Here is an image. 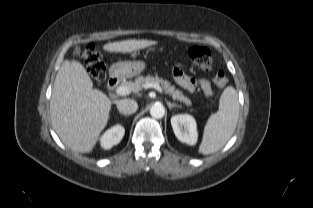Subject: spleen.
I'll return each instance as SVG.
<instances>
[{"label":"spleen","instance_id":"obj_1","mask_svg":"<svg viewBox=\"0 0 313 208\" xmlns=\"http://www.w3.org/2000/svg\"><path fill=\"white\" fill-rule=\"evenodd\" d=\"M239 110L237 91L232 86L226 87L219 100V110L207 120L199 153H214L229 141L237 126Z\"/></svg>","mask_w":313,"mask_h":208}]
</instances>
